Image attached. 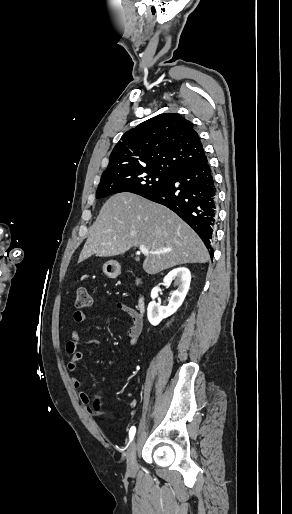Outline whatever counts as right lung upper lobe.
Segmentation results:
<instances>
[{
  "mask_svg": "<svg viewBox=\"0 0 292 514\" xmlns=\"http://www.w3.org/2000/svg\"><path fill=\"white\" fill-rule=\"evenodd\" d=\"M205 156L193 124L177 113H164L121 137L101 180L156 171L172 175Z\"/></svg>",
  "mask_w": 292,
  "mask_h": 514,
  "instance_id": "cb5924a9",
  "label": "right lung upper lobe"
}]
</instances>
